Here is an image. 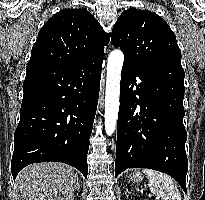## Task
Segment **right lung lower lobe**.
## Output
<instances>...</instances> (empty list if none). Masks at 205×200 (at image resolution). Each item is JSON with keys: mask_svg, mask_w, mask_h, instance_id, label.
I'll use <instances>...</instances> for the list:
<instances>
[{"mask_svg": "<svg viewBox=\"0 0 205 200\" xmlns=\"http://www.w3.org/2000/svg\"><path fill=\"white\" fill-rule=\"evenodd\" d=\"M104 57L75 65H27L11 171L58 161L88 174L87 153Z\"/></svg>", "mask_w": 205, "mask_h": 200, "instance_id": "right-lung-lower-lobe-1", "label": "right lung lower lobe"}]
</instances>
